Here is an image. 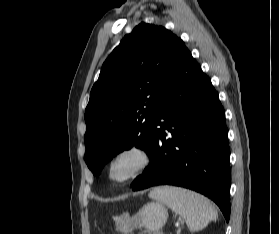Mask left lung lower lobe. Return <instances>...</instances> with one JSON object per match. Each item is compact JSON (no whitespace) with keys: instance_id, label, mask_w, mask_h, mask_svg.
<instances>
[{"instance_id":"0a47b994","label":"left lung lower lobe","mask_w":279,"mask_h":234,"mask_svg":"<svg viewBox=\"0 0 279 234\" xmlns=\"http://www.w3.org/2000/svg\"><path fill=\"white\" fill-rule=\"evenodd\" d=\"M153 139L151 163L132 189L168 184L195 190L212 199L228 222L231 173L225 112L210 78L185 46L160 94Z\"/></svg>"}]
</instances>
